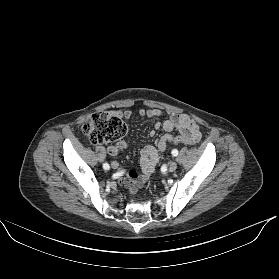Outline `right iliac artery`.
<instances>
[{
	"mask_svg": "<svg viewBox=\"0 0 279 279\" xmlns=\"http://www.w3.org/2000/svg\"><path fill=\"white\" fill-rule=\"evenodd\" d=\"M103 168H104L105 170H109L110 166H109L108 163H104V164H103Z\"/></svg>",
	"mask_w": 279,
	"mask_h": 279,
	"instance_id": "1",
	"label": "right iliac artery"
}]
</instances>
